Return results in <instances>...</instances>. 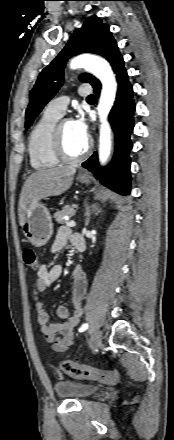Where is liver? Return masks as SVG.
<instances>
[{
  "label": "liver",
  "instance_id": "obj_1",
  "mask_svg": "<svg viewBox=\"0 0 174 440\" xmlns=\"http://www.w3.org/2000/svg\"><path fill=\"white\" fill-rule=\"evenodd\" d=\"M76 169L49 168L39 169L25 181L19 198V224L23 226L26 215L31 214L36 204L50 196L66 192L72 185Z\"/></svg>",
  "mask_w": 174,
  "mask_h": 440
}]
</instances>
